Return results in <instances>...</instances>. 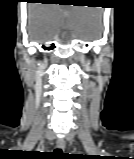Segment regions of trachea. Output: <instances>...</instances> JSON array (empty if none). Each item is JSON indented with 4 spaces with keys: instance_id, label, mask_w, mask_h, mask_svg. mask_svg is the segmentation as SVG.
<instances>
[{
    "instance_id": "trachea-1",
    "label": "trachea",
    "mask_w": 134,
    "mask_h": 159,
    "mask_svg": "<svg viewBox=\"0 0 134 159\" xmlns=\"http://www.w3.org/2000/svg\"><path fill=\"white\" fill-rule=\"evenodd\" d=\"M55 153H57V154H62V150H61V149H56V150H55Z\"/></svg>"
}]
</instances>
